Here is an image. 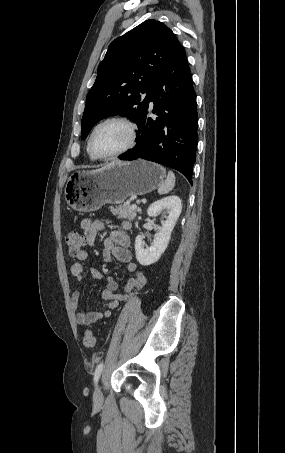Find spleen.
Returning a JSON list of instances; mask_svg holds the SVG:
<instances>
[{
    "mask_svg": "<svg viewBox=\"0 0 285 453\" xmlns=\"http://www.w3.org/2000/svg\"><path fill=\"white\" fill-rule=\"evenodd\" d=\"M175 185V175L172 171L168 172L167 178L161 183L158 188V193L160 195L170 192Z\"/></svg>",
    "mask_w": 285,
    "mask_h": 453,
    "instance_id": "spleen-1",
    "label": "spleen"
}]
</instances>
